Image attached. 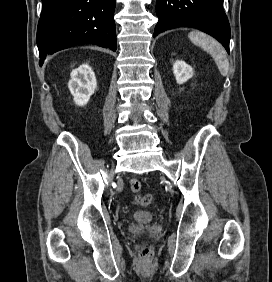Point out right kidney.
Here are the masks:
<instances>
[{
	"mask_svg": "<svg viewBox=\"0 0 272 282\" xmlns=\"http://www.w3.org/2000/svg\"><path fill=\"white\" fill-rule=\"evenodd\" d=\"M68 87L78 106L88 103L91 95L97 88V81L92 68L88 64H82L70 74Z\"/></svg>",
	"mask_w": 272,
	"mask_h": 282,
	"instance_id": "obj_1",
	"label": "right kidney"
}]
</instances>
